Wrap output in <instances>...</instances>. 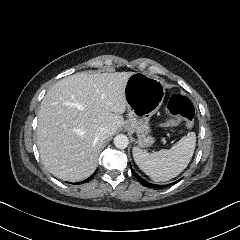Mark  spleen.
I'll return each instance as SVG.
<instances>
[{
  "mask_svg": "<svg viewBox=\"0 0 240 240\" xmlns=\"http://www.w3.org/2000/svg\"><path fill=\"white\" fill-rule=\"evenodd\" d=\"M196 146V134L189 132L170 149L147 153L133 148V158L146 175L155 182H165L178 176L190 163Z\"/></svg>",
  "mask_w": 240,
  "mask_h": 240,
  "instance_id": "spleen-1",
  "label": "spleen"
}]
</instances>
